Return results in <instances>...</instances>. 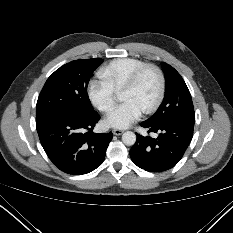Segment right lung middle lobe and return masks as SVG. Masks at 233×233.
<instances>
[{
  "mask_svg": "<svg viewBox=\"0 0 233 233\" xmlns=\"http://www.w3.org/2000/svg\"><path fill=\"white\" fill-rule=\"evenodd\" d=\"M103 59L69 62L46 81L36 105V121L53 115H85L94 112L87 94L93 71Z\"/></svg>",
  "mask_w": 233,
  "mask_h": 233,
  "instance_id": "1",
  "label": "right lung middle lobe"
}]
</instances>
